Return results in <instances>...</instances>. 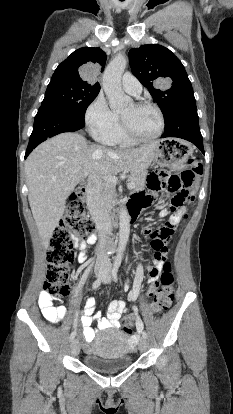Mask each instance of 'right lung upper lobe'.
<instances>
[{"mask_svg": "<svg viewBox=\"0 0 233 414\" xmlns=\"http://www.w3.org/2000/svg\"><path fill=\"white\" fill-rule=\"evenodd\" d=\"M106 62V54L100 48L83 47L74 51L66 60H64L55 70L52 79H61L78 83L90 87H100L98 82L86 81L80 77L84 64L98 65L101 72Z\"/></svg>", "mask_w": 233, "mask_h": 414, "instance_id": "obj_1", "label": "right lung upper lobe"}]
</instances>
